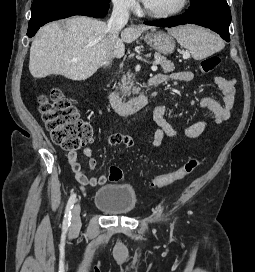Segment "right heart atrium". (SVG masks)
<instances>
[{"label":"right heart atrium","instance_id":"d8ad5b80","mask_svg":"<svg viewBox=\"0 0 255 272\" xmlns=\"http://www.w3.org/2000/svg\"><path fill=\"white\" fill-rule=\"evenodd\" d=\"M112 3L116 10L125 13L132 12L137 8L135 0H112Z\"/></svg>","mask_w":255,"mask_h":272}]
</instances>
